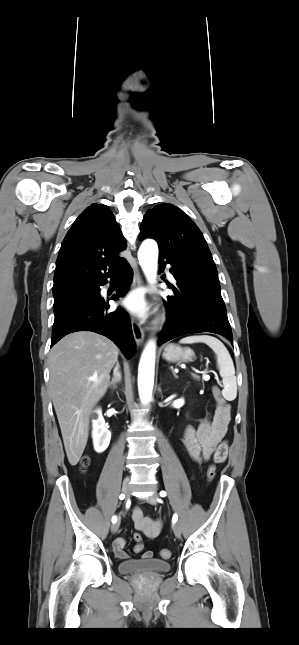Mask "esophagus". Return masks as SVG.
I'll use <instances>...</instances> for the list:
<instances>
[{
  "label": "esophagus",
  "mask_w": 299,
  "mask_h": 645,
  "mask_svg": "<svg viewBox=\"0 0 299 645\" xmlns=\"http://www.w3.org/2000/svg\"><path fill=\"white\" fill-rule=\"evenodd\" d=\"M142 284H143L142 277L140 275L137 264H135L133 268V288H138L142 286ZM131 325H132L134 339L137 344H140L144 339V331L134 316L131 317Z\"/></svg>",
  "instance_id": "1"
}]
</instances>
